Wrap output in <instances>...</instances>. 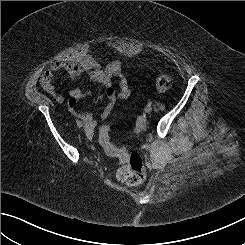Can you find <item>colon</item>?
Masks as SVG:
<instances>
[{
	"instance_id": "1",
	"label": "colon",
	"mask_w": 245,
	"mask_h": 245,
	"mask_svg": "<svg viewBox=\"0 0 245 245\" xmlns=\"http://www.w3.org/2000/svg\"><path fill=\"white\" fill-rule=\"evenodd\" d=\"M173 85V79L167 74H162L156 79V87L159 91H167ZM99 142L109 156L118 158L121 163L117 170V179L127 185H138L145 180L146 172L142 156L138 152H127L112 144L110 139V126L101 127Z\"/></svg>"
}]
</instances>
